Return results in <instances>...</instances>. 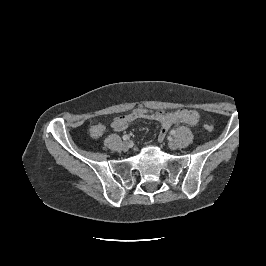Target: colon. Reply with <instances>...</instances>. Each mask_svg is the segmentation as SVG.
<instances>
[{
    "label": "colon",
    "instance_id": "5ec220e1",
    "mask_svg": "<svg viewBox=\"0 0 266 266\" xmlns=\"http://www.w3.org/2000/svg\"><path fill=\"white\" fill-rule=\"evenodd\" d=\"M132 112H134V114H136L137 116H141V115L150 116V115L165 113L162 110H152V109H148V108H137V109H134ZM204 129L207 131H212L214 129V127L210 124H204Z\"/></svg>",
    "mask_w": 266,
    "mask_h": 266
}]
</instances>
